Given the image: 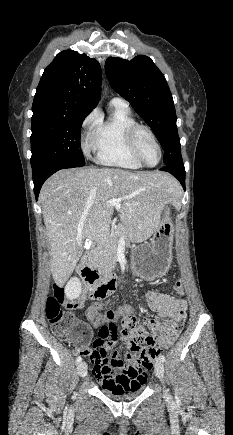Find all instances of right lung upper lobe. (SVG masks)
Segmentation results:
<instances>
[{
  "instance_id": "obj_1",
  "label": "right lung upper lobe",
  "mask_w": 233,
  "mask_h": 435,
  "mask_svg": "<svg viewBox=\"0 0 233 435\" xmlns=\"http://www.w3.org/2000/svg\"><path fill=\"white\" fill-rule=\"evenodd\" d=\"M101 81L96 59L73 50L60 52L44 70L34 97L32 117L88 115L100 99Z\"/></svg>"
}]
</instances>
